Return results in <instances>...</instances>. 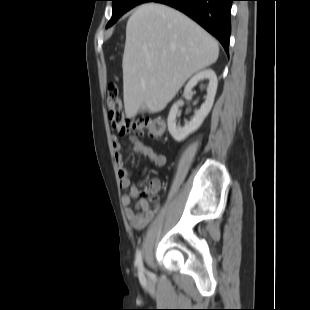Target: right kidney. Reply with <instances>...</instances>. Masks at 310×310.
<instances>
[{"instance_id": "1", "label": "right kidney", "mask_w": 310, "mask_h": 310, "mask_svg": "<svg viewBox=\"0 0 310 310\" xmlns=\"http://www.w3.org/2000/svg\"><path fill=\"white\" fill-rule=\"evenodd\" d=\"M203 79L209 80L207 95L205 97L206 100L201 105L200 109L195 111L194 117L189 122H186L183 127L176 124V116L179 114L180 102L174 103L170 109L168 115V130L177 142L183 141L191 133L195 132L201 126L213 106L218 81L217 76L212 69H204L196 73L186 84L184 95L190 94L192 88Z\"/></svg>"}]
</instances>
